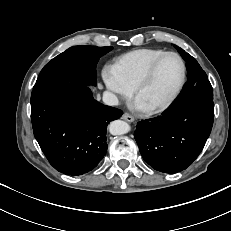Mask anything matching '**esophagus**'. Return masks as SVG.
Returning <instances> with one entry per match:
<instances>
[{
  "mask_svg": "<svg viewBox=\"0 0 231 231\" xmlns=\"http://www.w3.org/2000/svg\"><path fill=\"white\" fill-rule=\"evenodd\" d=\"M122 119L125 120V121H127V122H133L134 121V117H132L128 113H124L122 115Z\"/></svg>",
  "mask_w": 231,
  "mask_h": 231,
  "instance_id": "34e87169",
  "label": "esophagus"
}]
</instances>
